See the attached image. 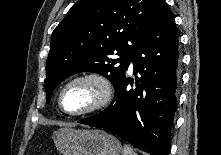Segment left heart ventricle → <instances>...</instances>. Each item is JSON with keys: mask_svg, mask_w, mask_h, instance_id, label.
<instances>
[{"mask_svg": "<svg viewBox=\"0 0 221 155\" xmlns=\"http://www.w3.org/2000/svg\"><path fill=\"white\" fill-rule=\"evenodd\" d=\"M97 98V90L92 84L78 83L69 87L63 95L66 110L76 112L92 105Z\"/></svg>", "mask_w": 221, "mask_h": 155, "instance_id": "left-heart-ventricle-1", "label": "left heart ventricle"}]
</instances>
